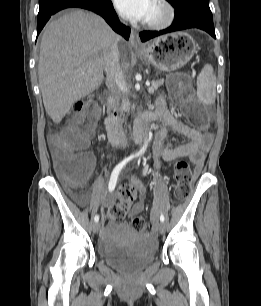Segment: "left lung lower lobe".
<instances>
[{
    "instance_id": "left-lung-lower-lobe-1",
    "label": "left lung lower lobe",
    "mask_w": 261,
    "mask_h": 306,
    "mask_svg": "<svg viewBox=\"0 0 261 306\" xmlns=\"http://www.w3.org/2000/svg\"><path fill=\"white\" fill-rule=\"evenodd\" d=\"M174 8L175 18L172 25L161 31L141 32L139 36L142 42L166 33L188 28L202 29L208 32L213 38H216L209 2L204 0H187Z\"/></svg>"
}]
</instances>
